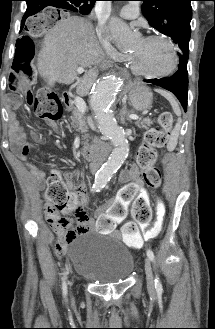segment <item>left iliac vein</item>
Segmentation results:
<instances>
[{
  "mask_svg": "<svg viewBox=\"0 0 215 329\" xmlns=\"http://www.w3.org/2000/svg\"><path fill=\"white\" fill-rule=\"evenodd\" d=\"M145 273H146L148 290L150 292H154L155 291L154 275H153L152 266H151L149 259L145 260Z\"/></svg>",
  "mask_w": 215,
  "mask_h": 329,
  "instance_id": "1",
  "label": "left iliac vein"
}]
</instances>
